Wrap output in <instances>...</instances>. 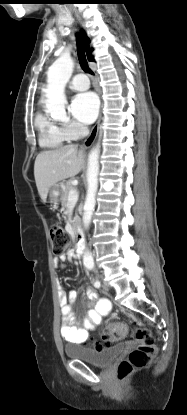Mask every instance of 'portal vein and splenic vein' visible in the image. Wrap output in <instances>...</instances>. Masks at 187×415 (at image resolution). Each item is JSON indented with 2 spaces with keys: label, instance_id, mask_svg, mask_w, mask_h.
Segmentation results:
<instances>
[{
  "label": "portal vein and splenic vein",
  "instance_id": "18ae733b",
  "mask_svg": "<svg viewBox=\"0 0 187 415\" xmlns=\"http://www.w3.org/2000/svg\"><path fill=\"white\" fill-rule=\"evenodd\" d=\"M79 193L76 189H72L69 192L68 203L75 204L78 201Z\"/></svg>",
  "mask_w": 187,
  "mask_h": 415
}]
</instances>
